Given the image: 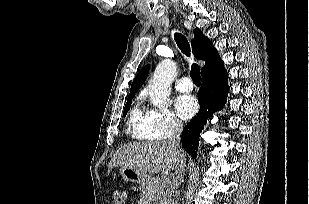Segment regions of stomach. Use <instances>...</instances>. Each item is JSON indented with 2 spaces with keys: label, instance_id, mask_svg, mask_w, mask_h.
Returning <instances> with one entry per match:
<instances>
[{
  "label": "stomach",
  "instance_id": "stomach-1",
  "mask_svg": "<svg viewBox=\"0 0 309 204\" xmlns=\"http://www.w3.org/2000/svg\"><path fill=\"white\" fill-rule=\"evenodd\" d=\"M119 174L125 181L138 183L140 185H143L151 178L149 174H144L125 166H121Z\"/></svg>",
  "mask_w": 309,
  "mask_h": 204
}]
</instances>
